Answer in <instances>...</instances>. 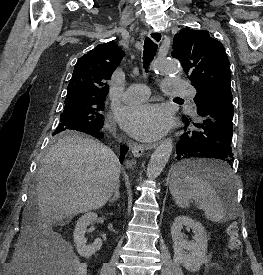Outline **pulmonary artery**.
Returning a JSON list of instances; mask_svg holds the SVG:
<instances>
[{"label":"pulmonary artery","instance_id":"pulmonary-artery-1","mask_svg":"<svg viewBox=\"0 0 263 275\" xmlns=\"http://www.w3.org/2000/svg\"><path fill=\"white\" fill-rule=\"evenodd\" d=\"M163 90L170 96H184L195 107L194 98L196 95L195 89L187 82L178 78H167L163 82ZM150 94L149 88L145 84H131L123 95V100L126 103L134 104L145 101Z\"/></svg>","mask_w":263,"mask_h":275}]
</instances>
